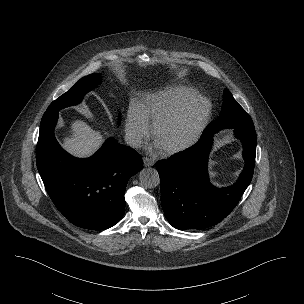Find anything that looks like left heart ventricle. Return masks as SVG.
I'll return each instance as SVG.
<instances>
[{
  "instance_id": "1",
  "label": "left heart ventricle",
  "mask_w": 304,
  "mask_h": 304,
  "mask_svg": "<svg viewBox=\"0 0 304 304\" xmlns=\"http://www.w3.org/2000/svg\"><path fill=\"white\" fill-rule=\"evenodd\" d=\"M203 106L195 104L181 116L165 124L157 136V143L161 147L179 144L188 139L197 127Z\"/></svg>"
}]
</instances>
